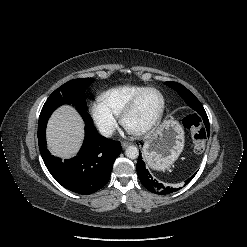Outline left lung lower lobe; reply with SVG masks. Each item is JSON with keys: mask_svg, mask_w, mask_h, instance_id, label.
<instances>
[{"mask_svg": "<svg viewBox=\"0 0 247 247\" xmlns=\"http://www.w3.org/2000/svg\"><path fill=\"white\" fill-rule=\"evenodd\" d=\"M204 120V124H205V128H202V135L204 137H206L207 135L209 136V121L208 118H203ZM136 170L139 176V179L141 181V183L143 184V186L153 192V193H157V194H161V195H165V194H169L175 191H178L180 188H170V187H165L162 183L158 182L150 173L149 171L146 169L145 167V163L142 159V156L139 154V159L136 165ZM194 177V176H193ZM189 178L185 185L187 183H189L191 181V179L193 178Z\"/></svg>", "mask_w": 247, "mask_h": 247, "instance_id": "left-lung-lower-lobe-1", "label": "left lung lower lobe"}]
</instances>
